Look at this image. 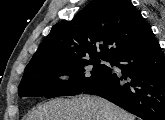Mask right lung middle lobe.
<instances>
[{
  "mask_svg": "<svg viewBox=\"0 0 165 120\" xmlns=\"http://www.w3.org/2000/svg\"><path fill=\"white\" fill-rule=\"evenodd\" d=\"M99 58L63 59L38 62L26 66L18 88L20 97L54 98L82 93L94 82L106 77L111 69ZM112 63L110 60H104ZM69 75L68 82L58 79Z\"/></svg>",
  "mask_w": 165,
  "mask_h": 120,
  "instance_id": "1",
  "label": "right lung middle lobe"
}]
</instances>
